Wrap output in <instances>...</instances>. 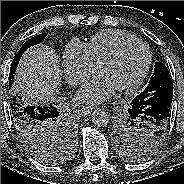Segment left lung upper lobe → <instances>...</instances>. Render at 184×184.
<instances>
[{
    "label": "left lung upper lobe",
    "mask_w": 184,
    "mask_h": 184,
    "mask_svg": "<svg viewBox=\"0 0 184 184\" xmlns=\"http://www.w3.org/2000/svg\"><path fill=\"white\" fill-rule=\"evenodd\" d=\"M155 69L150 81L161 77H170L167 67L155 62ZM167 129L169 123L165 124ZM167 130L156 136L154 129L132 117L129 112L118 117L113 127V134L119 153L128 160H143L154 154L165 139Z\"/></svg>",
    "instance_id": "5c2ea615"
}]
</instances>
